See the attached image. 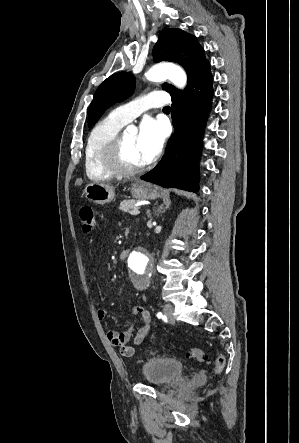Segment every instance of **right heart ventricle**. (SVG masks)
<instances>
[{
    "label": "right heart ventricle",
    "mask_w": 299,
    "mask_h": 443,
    "mask_svg": "<svg viewBox=\"0 0 299 443\" xmlns=\"http://www.w3.org/2000/svg\"><path fill=\"white\" fill-rule=\"evenodd\" d=\"M124 125L109 115L90 131L85 146L84 164L86 175L91 181L101 182L113 178L114 174L104 164V150Z\"/></svg>",
    "instance_id": "right-heart-ventricle-1"
}]
</instances>
